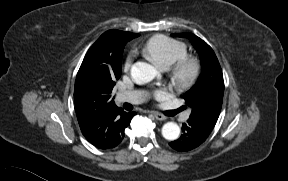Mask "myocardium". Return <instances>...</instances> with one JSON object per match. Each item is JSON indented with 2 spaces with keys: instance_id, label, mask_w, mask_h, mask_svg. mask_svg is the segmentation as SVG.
<instances>
[{
  "instance_id": "myocardium-1",
  "label": "myocardium",
  "mask_w": 288,
  "mask_h": 181,
  "mask_svg": "<svg viewBox=\"0 0 288 181\" xmlns=\"http://www.w3.org/2000/svg\"><path fill=\"white\" fill-rule=\"evenodd\" d=\"M170 77L178 88H188L199 78L201 64L198 59L184 56L170 66Z\"/></svg>"
}]
</instances>
